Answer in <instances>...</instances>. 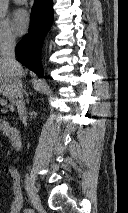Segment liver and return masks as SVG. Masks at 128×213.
I'll use <instances>...</instances> for the list:
<instances>
[{
  "instance_id": "obj_1",
  "label": "liver",
  "mask_w": 128,
  "mask_h": 213,
  "mask_svg": "<svg viewBox=\"0 0 128 213\" xmlns=\"http://www.w3.org/2000/svg\"><path fill=\"white\" fill-rule=\"evenodd\" d=\"M25 73L27 72L23 70V74ZM13 82L14 78L10 74L9 67L4 60L0 58V94L6 96L11 102H13L11 96Z\"/></svg>"
}]
</instances>
